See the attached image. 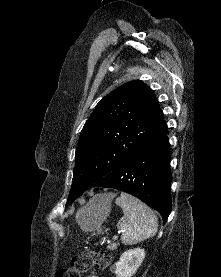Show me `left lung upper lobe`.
Returning a JSON list of instances; mask_svg holds the SVG:
<instances>
[{"instance_id":"1","label":"left lung upper lobe","mask_w":221,"mask_h":277,"mask_svg":"<svg viewBox=\"0 0 221 277\" xmlns=\"http://www.w3.org/2000/svg\"><path fill=\"white\" fill-rule=\"evenodd\" d=\"M164 124L154 92L141 80L127 82L103 97L81 131L66 206L107 176Z\"/></svg>"}]
</instances>
